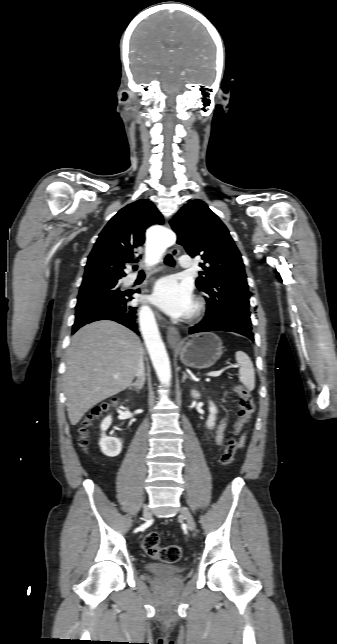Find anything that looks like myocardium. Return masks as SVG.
Here are the masks:
<instances>
[{
    "mask_svg": "<svg viewBox=\"0 0 337 644\" xmlns=\"http://www.w3.org/2000/svg\"><path fill=\"white\" fill-rule=\"evenodd\" d=\"M205 312V303L201 298H197L193 303L192 311L189 314V319H199Z\"/></svg>",
    "mask_w": 337,
    "mask_h": 644,
    "instance_id": "f54148a6",
    "label": "myocardium"
}]
</instances>
